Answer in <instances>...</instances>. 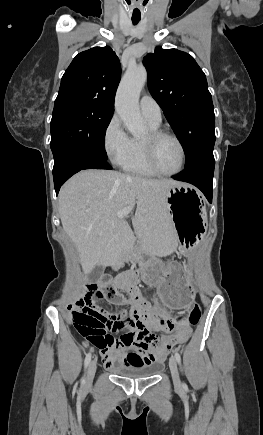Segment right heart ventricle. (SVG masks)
<instances>
[{"label": "right heart ventricle", "mask_w": 263, "mask_h": 435, "mask_svg": "<svg viewBox=\"0 0 263 435\" xmlns=\"http://www.w3.org/2000/svg\"><path fill=\"white\" fill-rule=\"evenodd\" d=\"M150 129H158L159 124L154 123L147 119ZM125 171L139 176L152 177L156 173L149 167L144 150L143 139L141 138H131V145L129 154L122 164Z\"/></svg>", "instance_id": "e07e8e85"}]
</instances>
